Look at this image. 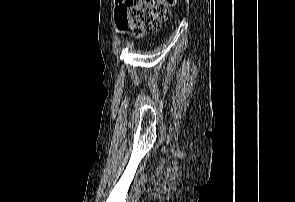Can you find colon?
<instances>
[{"label": "colon", "instance_id": "colon-1", "mask_svg": "<svg viewBox=\"0 0 295 202\" xmlns=\"http://www.w3.org/2000/svg\"><path fill=\"white\" fill-rule=\"evenodd\" d=\"M175 3L176 0H127L126 6L118 11V27L135 38L156 32Z\"/></svg>", "mask_w": 295, "mask_h": 202}]
</instances>
